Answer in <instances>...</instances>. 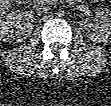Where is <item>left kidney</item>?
<instances>
[{"label":"left kidney","mask_w":111,"mask_h":106,"mask_svg":"<svg viewBox=\"0 0 111 106\" xmlns=\"http://www.w3.org/2000/svg\"><path fill=\"white\" fill-rule=\"evenodd\" d=\"M96 24H90L87 20L81 22L85 35L93 41L104 42L111 39V11L107 8L97 9Z\"/></svg>","instance_id":"5707ae66"}]
</instances>
